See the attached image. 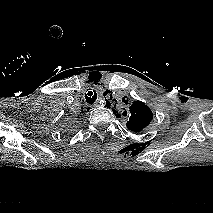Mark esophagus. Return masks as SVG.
<instances>
[{
  "mask_svg": "<svg viewBox=\"0 0 213 213\" xmlns=\"http://www.w3.org/2000/svg\"><path fill=\"white\" fill-rule=\"evenodd\" d=\"M94 106L96 107V106H98V104L96 103Z\"/></svg>",
  "mask_w": 213,
  "mask_h": 213,
  "instance_id": "34e87169",
  "label": "esophagus"
}]
</instances>
